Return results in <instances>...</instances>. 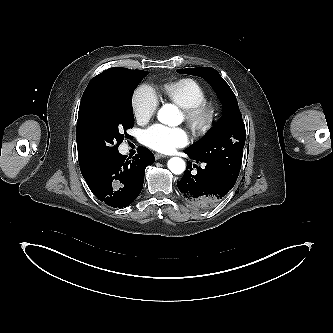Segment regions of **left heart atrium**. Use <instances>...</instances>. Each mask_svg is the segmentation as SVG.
Wrapping results in <instances>:
<instances>
[{
    "instance_id": "obj_1",
    "label": "left heart atrium",
    "mask_w": 333,
    "mask_h": 333,
    "mask_svg": "<svg viewBox=\"0 0 333 333\" xmlns=\"http://www.w3.org/2000/svg\"><path fill=\"white\" fill-rule=\"evenodd\" d=\"M142 141L155 151L170 153L176 148L185 146L189 138L183 128L156 124L143 132Z\"/></svg>"
}]
</instances>
